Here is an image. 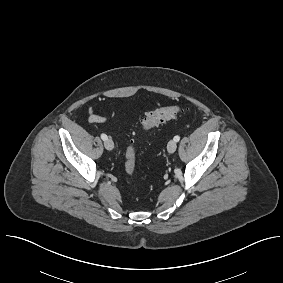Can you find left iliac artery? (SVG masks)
Masks as SVG:
<instances>
[{
	"label": "left iliac artery",
	"mask_w": 283,
	"mask_h": 283,
	"mask_svg": "<svg viewBox=\"0 0 283 283\" xmlns=\"http://www.w3.org/2000/svg\"><path fill=\"white\" fill-rule=\"evenodd\" d=\"M174 140H175L176 142H178V141L180 140V137H179V136H175V137H174Z\"/></svg>",
	"instance_id": "obj_1"
}]
</instances>
